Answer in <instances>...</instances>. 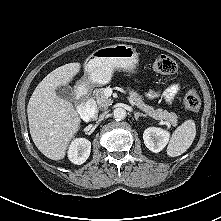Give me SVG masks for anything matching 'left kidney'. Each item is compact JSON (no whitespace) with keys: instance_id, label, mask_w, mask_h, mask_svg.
<instances>
[{"instance_id":"obj_1","label":"left kidney","mask_w":221,"mask_h":221,"mask_svg":"<svg viewBox=\"0 0 221 221\" xmlns=\"http://www.w3.org/2000/svg\"><path fill=\"white\" fill-rule=\"evenodd\" d=\"M146 147L154 152H160L168 143L169 132L161 128L149 127L143 133Z\"/></svg>"}]
</instances>
